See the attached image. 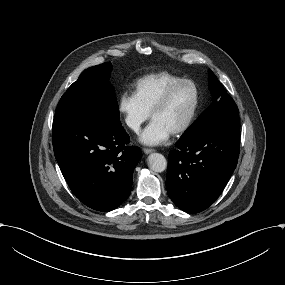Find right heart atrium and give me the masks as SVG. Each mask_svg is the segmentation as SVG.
<instances>
[{
    "instance_id": "right-heart-atrium-1",
    "label": "right heart atrium",
    "mask_w": 285,
    "mask_h": 285,
    "mask_svg": "<svg viewBox=\"0 0 285 285\" xmlns=\"http://www.w3.org/2000/svg\"><path fill=\"white\" fill-rule=\"evenodd\" d=\"M118 109L126 125L134 131H139L150 116V112L140 102L134 89H128L120 96Z\"/></svg>"
}]
</instances>
